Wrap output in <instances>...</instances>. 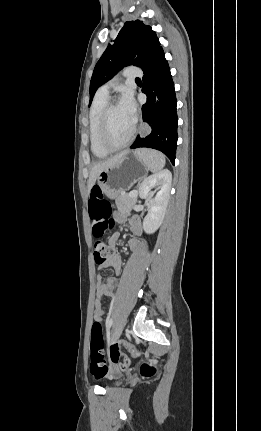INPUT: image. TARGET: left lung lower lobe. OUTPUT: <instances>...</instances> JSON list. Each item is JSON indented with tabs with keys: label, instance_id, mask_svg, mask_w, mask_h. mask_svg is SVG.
I'll return each mask as SVG.
<instances>
[{
	"label": "left lung lower lobe",
	"instance_id": "obj_1",
	"mask_svg": "<svg viewBox=\"0 0 261 431\" xmlns=\"http://www.w3.org/2000/svg\"><path fill=\"white\" fill-rule=\"evenodd\" d=\"M147 102L142 106L143 122L148 135L138 136L130 147H147L163 152L174 164L177 147V112L175 89L162 48H159L143 68Z\"/></svg>",
	"mask_w": 261,
	"mask_h": 431
}]
</instances>
